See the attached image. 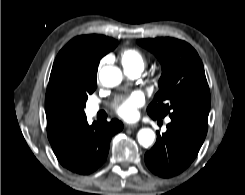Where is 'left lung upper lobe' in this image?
<instances>
[{
	"mask_svg": "<svg viewBox=\"0 0 245 195\" xmlns=\"http://www.w3.org/2000/svg\"><path fill=\"white\" fill-rule=\"evenodd\" d=\"M137 43L154 53L162 65L159 91L147 113L154 119L168 114L170 118L207 124L210 91L195 49L175 38L141 39Z\"/></svg>",
	"mask_w": 245,
	"mask_h": 195,
	"instance_id": "left-lung-upper-lobe-1",
	"label": "left lung upper lobe"
}]
</instances>
